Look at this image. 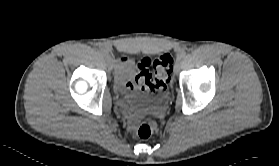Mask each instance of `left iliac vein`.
Returning a JSON list of instances; mask_svg holds the SVG:
<instances>
[{
    "label": "left iliac vein",
    "instance_id": "obj_1",
    "mask_svg": "<svg viewBox=\"0 0 279 166\" xmlns=\"http://www.w3.org/2000/svg\"><path fill=\"white\" fill-rule=\"evenodd\" d=\"M180 71V60H177L174 66V73L177 74Z\"/></svg>",
    "mask_w": 279,
    "mask_h": 166
}]
</instances>
